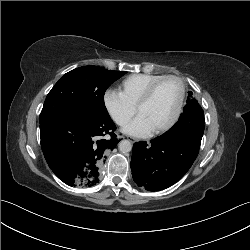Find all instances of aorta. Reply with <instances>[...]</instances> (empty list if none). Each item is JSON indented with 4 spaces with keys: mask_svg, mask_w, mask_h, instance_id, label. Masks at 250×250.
<instances>
[{
    "mask_svg": "<svg viewBox=\"0 0 250 250\" xmlns=\"http://www.w3.org/2000/svg\"><path fill=\"white\" fill-rule=\"evenodd\" d=\"M119 150L123 153L130 152L132 150V144L129 140H122L119 142Z\"/></svg>",
    "mask_w": 250,
    "mask_h": 250,
    "instance_id": "1",
    "label": "aorta"
}]
</instances>
